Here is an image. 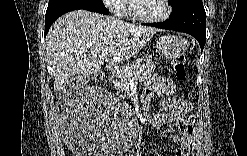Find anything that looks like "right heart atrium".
Returning <instances> with one entry per match:
<instances>
[{
    "label": "right heart atrium",
    "instance_id": "right-heart-atrium-1",
    "mask_svg": "<svg viewBox=\"0 0 247 156\" xmlns=\"http://www.w3.org/2000/svg\"><path fill=\"white\" fill-rule=\"evenodd\" d=\"M105 6L115 14H122L125 11V2L123 0H106Z\"/></svg>",
    "mask_w": 247,
    "mask_h": 156
}]
</instances>
